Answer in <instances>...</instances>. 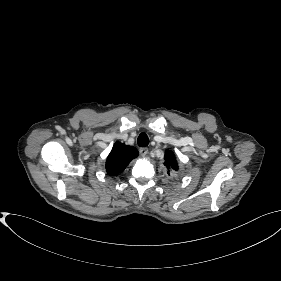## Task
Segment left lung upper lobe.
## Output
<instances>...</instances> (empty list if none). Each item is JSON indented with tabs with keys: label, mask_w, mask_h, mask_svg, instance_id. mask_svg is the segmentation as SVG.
<instances>
[{
	"label": "left lung upper lobe",
	"mask_w": 281,
	"mask_h": 281,
	"mask_svg": "<svg viewBox=\"0 0 281 281\" xmlns=\"http://www.w3.org/2000/svg\"><path fill=\"white\" fill-rule=\"evenodd\" d=\"M164 159H165L164 165L167 167V169H173V170L178 169V165H177L175 156L172 152L166 150Z\"/></svg>",
	"instance_id": "left-lung-upper-lobe-1"
}]
</instances>
